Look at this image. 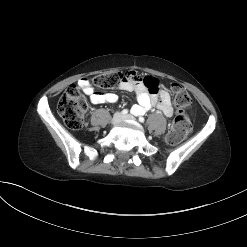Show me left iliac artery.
Returning a JSON list of instances; mask_svg holds the SVG:
<instances>
[{"mask_svg": "<svg viewBox=\"0 0 247 247\" xmlns=\"http://www.w3.org/2000/svg\"><path fill=\"white\" fill-rule=\"evenodd\" d=\"M139 121H140L141 123H144L145 119H144L143 117H139Z\"/></svg>", "mask_w": 247, "mask_h": 247, "instance_id": "left-iliac-artery-1", "label": "left iliac artery"}]
</instances>
